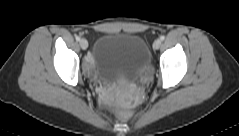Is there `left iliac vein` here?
I'll use <instances>...</instances> for the list:
<instances>
[{
  "label": "left iliac vein",
  "mask_w": 239,
  "mask_h": 136,
  "mask_svg": "<svg viewBox=\"0 0 239 136\" xmlns=\"http://www.w3.org/2000/svg\"><path fill=\"white\" fill-rule=\"evenodd\" d=\"M160 45H161V41L159 39L155 40L153 43V47L155 49H159Z\"/></svg>",
  "instance_id": "left-iliac-vein-1"
}]
</instances>
